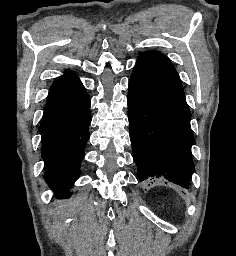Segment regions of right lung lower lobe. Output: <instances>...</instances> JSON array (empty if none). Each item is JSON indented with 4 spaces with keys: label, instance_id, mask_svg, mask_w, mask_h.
I'll use <instances>...</instances> for the list:
<instances>
[{
    "label": "right lung lower lobe",
    "instance_id": "right-lung-lower-lobe-1",
    "mask_svg": "<svg viewBox=\"0 0 236 256\" xmlns=\"http://www.w3.org/2000/svg\"><path fill=\"white\" fill-rule=\"evenodd\" d=\"M90 99L81 82L47 103L39 132L45 180L57 196L68 190L80 175L84 147L89 139Z\"/></svg>",
    "mask_w": 236,
    "mask_h": 256
}]
</instances>
